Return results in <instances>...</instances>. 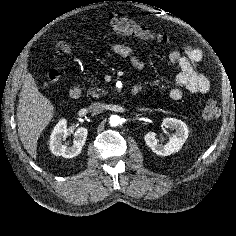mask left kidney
Instances as JSON below:
<instances>
[{
	"label": "left kidney",
	"instance_id": "5707ae66",
	"mask_svg": "<svg viewBox=\"0 0 236 236\" xmlns=\"http://www.w3.org/2000/svg\"><path fill=\"white\" fill-rule=\"evenodd\" d=\"M162 125L165 128L175 130L167 144H160L154 132H148L144 136V140L154 153L160 156H168L181 149L188 138L189 130L185 122L175 118H165Z\"/></svg>",
	"mask_w": 236,
	"mask_h": 236
}]
</instances>
